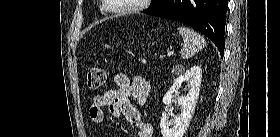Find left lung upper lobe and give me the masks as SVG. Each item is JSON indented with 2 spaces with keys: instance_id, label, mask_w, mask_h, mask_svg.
Wrapping results in <instances>:
<instances>
[{
  "instance_id": "5c2ea615",
  "label": "left lung upper lobe",
  "mask_w": 280,
  "mask_h": 137,
  "mask_svg": "<svg viewBox=\"0 0 280 137\" xmlns=\"http://www.w3.org/2000/svg\"><path fill=\"white\" fill-rule=\"evenodd\" d=\"M162 1H163V0H158L157 3L154 4V5H152V6H150L148 10H150V9H152V8H154V7H156V6H157L158 4H160ZM148 10H147V11H148Z\"/></svg>"
}]
</instances>
